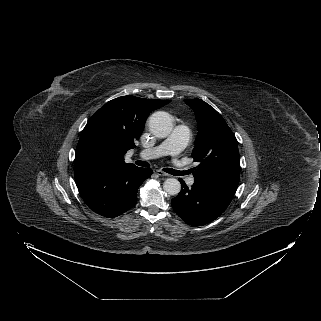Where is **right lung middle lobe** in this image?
<instances>
[{"mask_svg": "<svg viewBox=\"0 0 321 321\" xmlns=\"http://www.w3.org/2000/svg\"><path fill=\"white\" fill-rule=\"evenodd\" d=\"M108 157L107 149L97 141L78 144L75 152V165L84 169L102 166Z\"/></svg>", "mask_w": 321, "mask_h": 321, "instance_id": "1", "label": "right lung middle lobe"}]
</instances>
